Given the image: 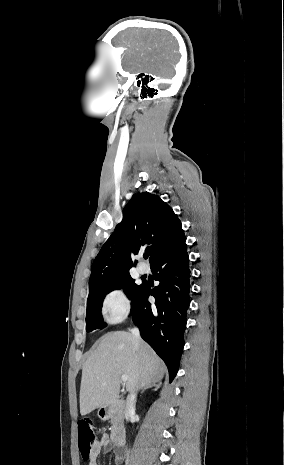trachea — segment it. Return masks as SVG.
Listing matches in <instances>:
<instances>
[{"mask_svg":"<svg viewBox=\"0 0 284 465\" xmlns=\"http://www.w3.org/2000/svg\"><path fill=\"white\" fill-rule=\"evenodd\" d=\"M143 256H144V258H145V259H147V258H148V254H144Z\"/></svg>","mask_w":284,"mask_h":465,"instance_id":"3493384b","label":"trachea"}]
</instances>
